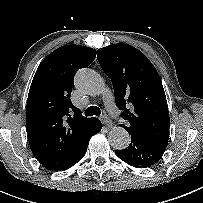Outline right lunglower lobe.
<instances>
[{
    "label": "right lung lower lobe",
    "instance_id": "98d812e1",
    "mask_svg": "<svg viewBox=\"0 0 203 203\" xmlns=\"http://www.w3.org/2000/svg\"><path fill=\"white\" fill-rule=\"evenodd\" d=\"M101 128H102V123L97 119V121L93 125L89 135L84 139V141L82 142V144L76 151L75 155L72 157V159L67 163V165L62 170H66V169L72 167L85 155L89 139L91 138L92 135H94L95 133L100 131Z\"/></svg>",
    "mask_w": 203,
    "mask_h": 203
}]
</instances>
